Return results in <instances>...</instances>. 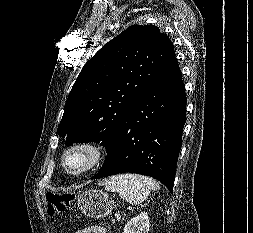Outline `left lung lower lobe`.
I'll list each match as a JSON object with an SVG mask.
<instances>
[{
	"mask_svg": "<svg viewBox=\"0 0 253 233\" xmlns=\"http://www.w3.org/2000/svg\"><path fill=\"white\" fill-rule=\"evenodd\" d=\"M186 103L174 56L126 117L103 166L92 179L137 173L159 180L172 193Z\"/></svg>",
	"mask_w": 253,
	"mask_h": 233,
	"instance_id": "left-lung-lower-lobe-1",
	"label": "left lung lower lobe"
}]
</instances>
